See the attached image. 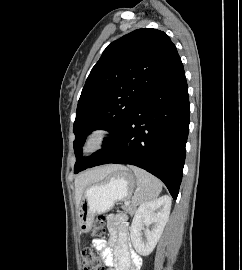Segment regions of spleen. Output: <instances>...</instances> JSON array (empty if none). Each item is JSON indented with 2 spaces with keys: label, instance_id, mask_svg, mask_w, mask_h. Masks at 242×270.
<instances>
[{
  "label": "spleen",
  "instance_id": "spleen-1",
  "mask_svg": "<svg viewBox=\"0 0 242 270\" xmlns=\"http://www.w3.org/2000/svg\"><path fill=\"white\" fill-rule=\"evenodd\" d=\"M136 176L137 189L132 198L135 205L155 200L162 191V183L153 175L135 166L130 167Z\"/></svg>",
  "mask_w": 242,
  "mask_h": 270
}]
</instances>
